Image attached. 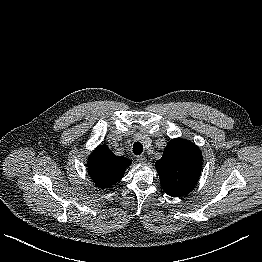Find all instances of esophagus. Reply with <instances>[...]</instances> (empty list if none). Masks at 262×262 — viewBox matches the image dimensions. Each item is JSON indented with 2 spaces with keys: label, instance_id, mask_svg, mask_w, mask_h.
I'll use <instances>...</instances> for the list:
<instances>
[{
  "label": "esophagus",
  "instance_id": "obj_1",
  "mask_svg": "<svg viewBox=\"0 0 262 262\" xmlns=\"http://www.w3.org/2000/svg\"><path fill=\"white\" fill-rule=\"evenodd\" d=\"M137 160L140 163H145L147 161V158L144 155L137 156Z\"/></svg>",
  "mask_w": 262,
  "mask_h": 262
}]
</instances>
